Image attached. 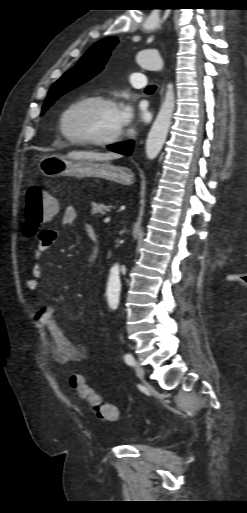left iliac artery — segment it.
I'll list each match as a JSON object with an SVG mask.
<instances>
[{
    "mask_svg": "<svg viewBox=\"0 0 247 513\" xmlns=\"http://www.w3.org/2000/svg\"><path fill=\"white\" fill-rule=\"evenodd\" d=\"M124 359H125V362L128 365H134L135 364L134 358H133V356L130 353L125 354Z\"/></svg>",
    "mask_w": 247,
    "mask_h": 513,
    "instance_id": "44dca946",
    "label": "left iliac artery"
}]
</instances>
